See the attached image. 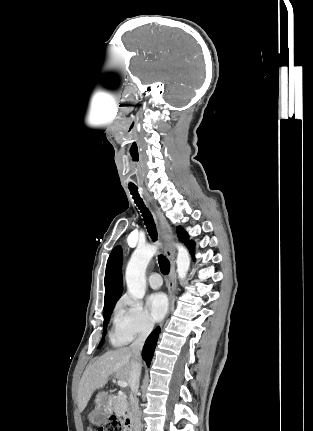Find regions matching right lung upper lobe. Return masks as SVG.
<instances>
[{"instance_id":"cb5924a9","label":"right lung upper lobe","mask_w":313,"mask_h":431,"mask_svg":"<svg viewBox=\"0 0 313 431\" xmlns=\"http://www.w3.org/2000/svg\"><path fill=\"white\" fill-rule=\"evenodd\" d=\"M122 258L121 247H115L109 256L106 266L104 307L116 303L122 294Z\"/></svg>"}]
</instances>
